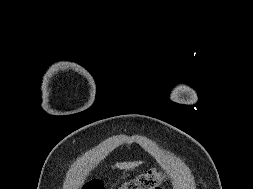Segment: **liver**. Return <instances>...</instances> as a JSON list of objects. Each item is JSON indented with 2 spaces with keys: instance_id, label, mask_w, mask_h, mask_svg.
I'll return each mask as SVG.
<instances>
[{
  "instance_id": "1",
  "label": "liver",
  "mask_w": 253,
  "mask_h": 189,
  "mask_svg": "<svg viewBox=\"0 0 253 189\" xmlns=\"http://www.w3.org/2000/svg\"><path fill=\"white\" fill-rule=\"evenodd\" d=\"M141 162H124V163H116V166L120 169H128L138 166Z\"/></svg>"
}]
</instances>
